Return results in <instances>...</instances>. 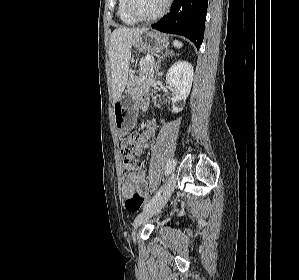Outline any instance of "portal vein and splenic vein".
Here are the masks:
<instances>
[{"mask_svg": "<svg viewBox=\"0 0 299 280\" xmlns=\"http://www.w3.org/2000/svg\"><path fill=\"white\" fill-rule=\"evenodd\" d=\"M144 61H146V62H153L154 61V57H146Z\"/></svg>", "mask_w": 299, "mask_h": 280, "instance_id": "1", "label": "portal vein and splenic vein"}]
</instances>
